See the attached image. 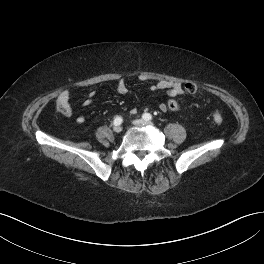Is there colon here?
Masks as SVG:
<instances>
[{
	"label": "colon",
	"mask_w": 264,
	"mask_h": 264,
	"mask_svg": "<svg viewBox=\"0 0 264 264\" xmlns=\"http://www.w3.org/2000/svg\"><path fill=\"white\" fill-rule=\"evenodd\" d=\"M184 90L186 93L193 95L197 92L198 87L195 83L189 82L185 84ZM165 105H166V108L172 112H175V113L181 112V106L174 99H169ZM59 111L64 114V110L60 106H59ZM212 119L216 124H222L223 122L222 115L218 111L213 112Z\"/></svg>",
	"instance_id": "5ec220e1"
}]
</instances>
